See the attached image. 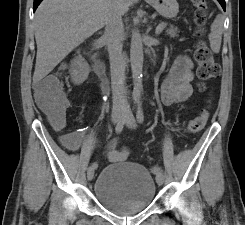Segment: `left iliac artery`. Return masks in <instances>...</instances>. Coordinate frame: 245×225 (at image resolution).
<instances>
[{"mask_svg":"<svg viewBox=\"0 0 245 225\" xmlns=\"http://www.w3.org/2000/svg\"><path fill=\"white\" fill-rule=\"evenodd\" d=\"M136 117H137V121L139 123H142L144 121V112H143L141 101H137ZM153 173L156 175V177L161 175L162 174V168L159 166H154L153 167Z\"/></svg>","mask_w":245,"mask_h":225,"instance_id":"obj_1","label":"left iliac artery"}]
</instances>
